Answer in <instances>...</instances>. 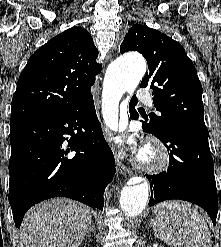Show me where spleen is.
I'll list each match as a JSON object with an SVG mask.
<instances>
[{
  "mask_svg": "<svg viewBox=\"0 0 221 247\" xmlns=\"http://www.w3.org/2000/svg\"><path fill=\"white\" fill-rule=\"evenodd\" d=\"M154 213V232L166 244L174 247L212 246L207 223L192 204L164 202L155 208Z\"/></svg>",
  "mask_w": 221,
  "mask_h": 247,
  "instance_id": "3e777b00",
  "label": "spleen"
}]
</instances>
